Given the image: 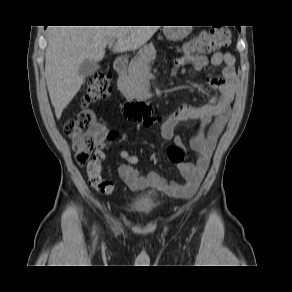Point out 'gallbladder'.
Returning a JSON list of instances; mask_svg holds the SVG:
<instances>
[{
    "label": "gallbladder",
    "instance_id": "obj_1",
    "mask_svg": "<svg viewBox=\"0 0 292 292\" xmlns=\"http://www.w3.org/2000/svg\"><path fill=\"white\" fill-rule=\"evenodd\" d=\"M100 68L98 63L90 60H85L79 67V73L83 77L94 75L95 72Z\"/></svg>",
    "mask_w": 292,
    "mask_h": 292
}]
</instances>
